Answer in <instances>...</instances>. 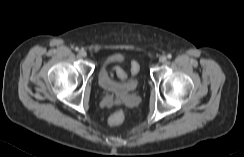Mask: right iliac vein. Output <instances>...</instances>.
<instances>
[{
	"label": "right iliac vein",
	"instance_id": "obj_1",
	"mask_svg": "<svg viewBox=\"0 0 244 157\" xmlns=\"http://www.w3.org/2000/svg\"><path fill=\"white\" fill-rule=\"evenodd\" d=\"M79 55H80L81 57H86V56H87V53H86L85 50H80Z\"/></svg>",
	"mask_w": 244,
	"mask_h": 157
}]
</instances>
